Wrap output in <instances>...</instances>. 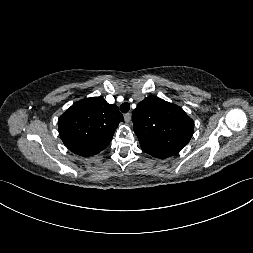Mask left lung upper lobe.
Masks as SVG:
<instances>
[{"label": "left lung upper lobe", "mask_w": 253, "mask_h": 253, "mask_svg": "<svg viewBox=\"0 0 253 253\" xmlns=\"http://www.w3.org/2000/svg\"><path fill=\"white\" fill-rule=\"evenodd\" d=\"M132 121L142 150L162 157L182 150L194 129L193 120L182 108L155 96L138 103Z\"/></svg>", "instance_id": "1"}]
</instances>
